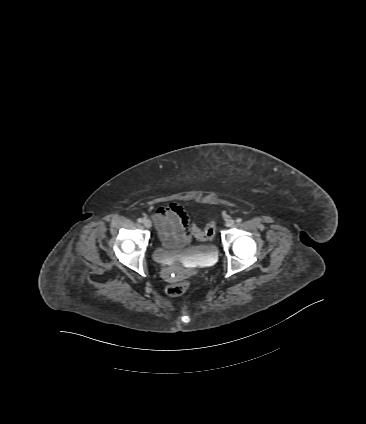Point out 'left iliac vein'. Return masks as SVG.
I'll use <instances>...</instances> for the list:
<instances>
[{
    "instance_id": "1",
    "label": "left iliac vein",
    "mask_w": 366,
    "mask_h": 424,
    "mask_svg": "<svg viewBox=\"0 0 366 424\" xmlns=\"http://www.w3.org/2000/svg\"><path fill=\"white\" fill-rule=\"evenodd\" d=\"M234 223L235 221L233 219H228L225 224L227 227H232Z\"/></svg>"
}]
</instances>
